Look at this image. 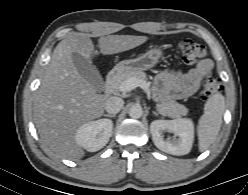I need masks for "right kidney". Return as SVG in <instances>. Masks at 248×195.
Instances as JSON below:
<instances>
[{
	"mask_svg": "<svg viewBox=\"0 0 248 195\" xmlns=\"http://www.w3.org/2000/svg\"><path fill=\"white\" fill-rule=\"evenodd\" d=\"M112 128L113 122L109 119L89 121L77 129L76 143L89 152H96L108 143Z\"/></svg>",
	"mask_w": 248,
	"mask_h": 195,
	"instance_id": "ca27d5eb",
	"label": "right kidney"
}]
</instances>
